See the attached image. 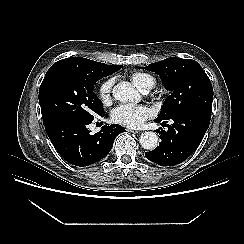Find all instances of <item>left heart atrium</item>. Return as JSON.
<instances>
[{
    "mask_svg": "<svg viewBox=\"0 0 244 244\" xmlns=\"http://www.w3.org/2000/svg\"><path fill=\"white\" fill-rule=\"evenodd\" d=\"M151 116V110L143 105L124 104L112 112V120L129 128H139Z\"/></svg>",
    "mask_w": 244,
    "mask_h": 244,
    "instance_id": "obj_1",
    "label": "left heart atrium"
}]
</instances>
